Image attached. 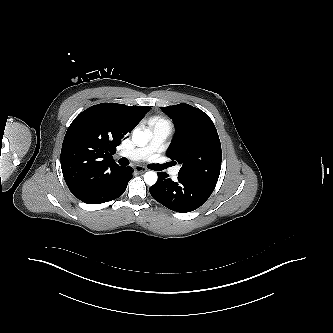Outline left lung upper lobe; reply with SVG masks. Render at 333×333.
Instances as JSON below:
<instances>
[{"label":"left lung upper lobe","mask_w":333,"mask_h":333,"mask_svg":"<svg viewBox=\"0 0 333 333\" xmlns=\"http://www.w3.org/2000/svg\"><path fill=\"white\" fill-rule=\"evenodd\" d=\"M175 125L166 156L180 165L179 175L217 183L222 161L221 144L210 117L189 104L161 107Z\"/></svg>","instance_id":"5c2ea615"}]
</instances>
